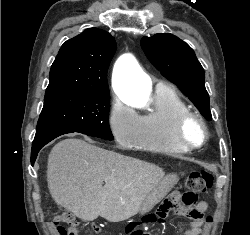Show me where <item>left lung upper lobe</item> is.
I'll return each mask as SVG.
<instances>
[{
    "instance_id": "1",
    "label": "left lung upper lobe",
    "mask_w": 250,
    "mask_h": 235,
    "mask_svg": "<svg viewBox=\"0 0 250 235\" xmlns=\"http://www.w3.org/2000/svg\"><path fill=\"white\" fill-rule=\"evenodd\" d=\"M141 46L148 59L162 75L176 84L209 120L211 112L209 95L204 85L205 74L193 49L170 33L143 37Z\"/></svg>"
}]
</instances>
